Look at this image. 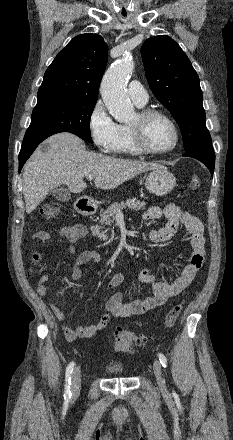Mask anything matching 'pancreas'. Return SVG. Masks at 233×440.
I'll return each instance as SVG.
<instances>
[{"label": "pancreas", "mask_w": 233, "mask_h": 440, "mask_svg": "<svg viewBox=\"0 0 233 440\" xmlns=\"http://www.w3.org/2000/svg\"><path fill=\"white\" fill-rule=\"evenodd\" d=\"M146 206L145 202H141L136 200L135 198L127 199L125 202H115L106 210L100 211V223L101 226L96 225L93 227V235L97 236L101 240H107L106 231H103V225H110L114 222L115 217L117 215V211L121 209H131L133 211L144 210Z\"/></svg>", "instance_id": "1"}]
</instances>
